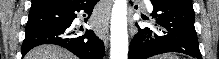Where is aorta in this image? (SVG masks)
<instances>
[{
  "mask_svg": "<svg viewBox=\"0 0 219 59\" xmlns=\"http://www.w3.org/2000/svg\"><path fill=\"white\" fill-rule=\"evenodd\" d=\"M110 59H127V0H115L111 13Z\"/></svg>",
  "mask_w": 219,
  "mask_h": 59,
  "instance_id": "1",
  "label": "aorta"
}]
</instances>
